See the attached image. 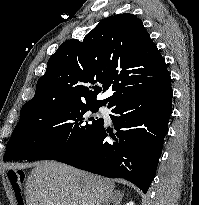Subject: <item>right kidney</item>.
Listing matches in <instances>:
<instances>
[{
    "label": "right kidney",
    "instance_id": "1",
    "mask_svg": "<svg viewBox=\"0 0 199 205\" xmlns=\"http://www.w3.org/2000/svg\"><path fill=\"white\" fill-rule=\"evenodd\" d=\"M126 205H134V203L133 202H129Z\"/></svg>",
    "mask_w": 199,
    "mask_h": 205
}]
</instances>
